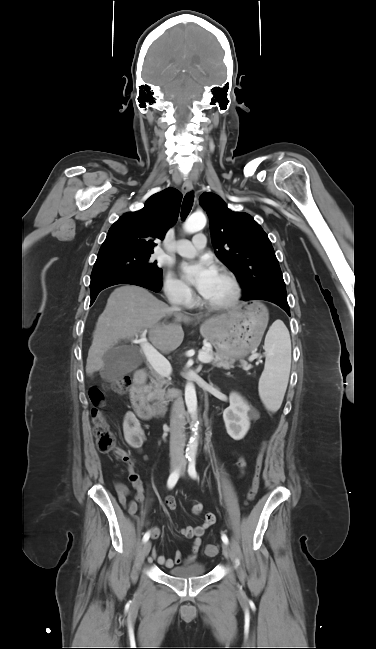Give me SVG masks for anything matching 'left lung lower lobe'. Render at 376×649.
I'll list each match as a JSON object with an SVG mask.
<instances>
[{"label": "left lung lower lobe", "instance_id": "0a47b994", "mask_svg": "<svg viewBox=\"0 0 376 649\" xmlns=\"http://www.w3.org/2000/svg\"><path fill=\"white\" fill-rule=\"evenodd\" d=\"M254 299L266 300V301H270L272 303H275L276 305L280 306L284 311H286V313L290 316V308H289V305L287 303V299L279 298V297L270 295L268 293H261V294L255 296L251 300H254Z\"/></svg>", "mask_w": 376, "mask_h": 649}]
</instances>
